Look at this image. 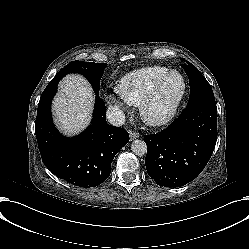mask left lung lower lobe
Instances as JSON below:
<instances>
[{
  "instance_id": "1",
  "label": "left lung lower lobe",
  "mask_w": 249,
  "mask_h": 249,
  "mask_svg": "<svg viewBox=\"0 0 249 249\" xmlns=\"http://www.w3.org/2000/svg\"><path fill=\"white\" fill-rule=\"evenodd\" d=\"M216 140L215 98L205 97L189 102L168 128L144 137L147 172L158 185L183 186L202 172Z\"/></svg>"
}]
</instances>
